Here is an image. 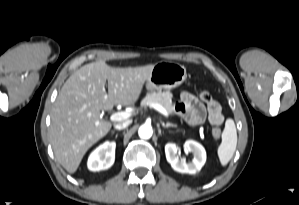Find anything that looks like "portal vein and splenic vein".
<instances>
[{"instance_id": "1", "label": "portal vein and splenic vein", "mask_w": 299, "mask_h": 205, "mask_svg": "<svg viewBox=\"0 0 299 205\" xmlns=\"http://www.w3.org/2000/svg\"><path fill=\"white\" fill-rule=\"evenodd\" d=\"M150 106L153 107L158 112H160L165 117L169 116L167 110L162 105L153 103ZM129 117H130V113H128V112H116V113H114L110 116V120L114 121V122L115 121H122V120H125V119L129 118Z\"/></svg>"}]
</instances>
